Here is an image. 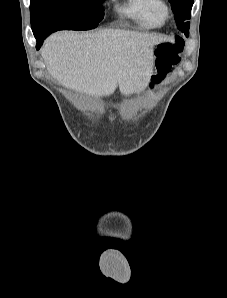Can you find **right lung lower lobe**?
<instances>
[{"instance_id":"98d812e1","label":"right lung lower lobe","mask_w":227,"mask_h":298,"mask_svg":"<svg viewBox=\"0 0 227 298\" xmlns=\"http://www.w3.org/2000/svg\"><path fill=\"white\" fill-rule=\"evenodd\" d=\"M52 32H55V31H48V32H44V33H38V34H35V38L37 40V45H36V49H39L44 41V39L49 35L51 34Z\"/></svg>"}]
</instances>
